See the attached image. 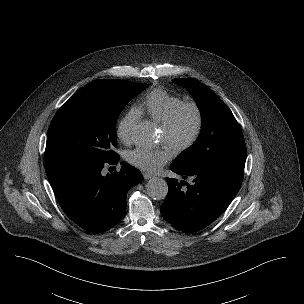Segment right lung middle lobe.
Instances as JSON below:
<instances>
[{"label": "right lung middle lobe", "instance_id": "obj_1", "mask_svg": "<svg viewBox=\"0 0 304 304\" xmlns=\"http://www.w3.org/2000/svg\"><path fill=\"white\" fill-rule=\"evenodd\" d=\"M148 84L100 79L72 95L55 114L47 134L46 169L115 160V123L124 106Z\"/></svg>", "mask_w": 304, "mask_h": 304}]
</instances>
